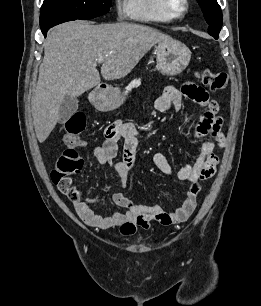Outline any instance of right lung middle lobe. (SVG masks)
Wrapping results in <instances>:
<instances>
[{
    "instance_id": "dd1d6c3e",
    "label": "right lung middle lobe",
    "mask_w": 261,
    "mask_h": 306,
    "mask_svg": "<svg viewBox=\"0 0 261 306\" xmlns=\"http://www.w3.org/2000/svg\"><path fill=\"white\" fill-rule=\"evenodd\" d=\"M111 0H44L41 16H66L81 20L106 14Z\"/></svg>"
}]
</instances>
